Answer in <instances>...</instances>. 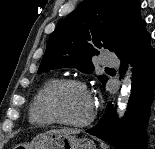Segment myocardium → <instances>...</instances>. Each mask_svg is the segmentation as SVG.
<instances>
[{
    "instance_id": "f54148a6",
    "label": "myocardium",
    "mask_w": 155,
    "mask_h": 149,
    "mask_svg": "<svg viewBox=\"0 0 155 149\" xmlns=\"http://www.w3.org/2000/svg\"><path fill=\"white\" fill-rule=\"evenodd\" d=\"M64 86H77L90 96L89 90L86 84L82 80L75 79V78L57 79L53 81L50 85H48L43 93L42 107H43L44 112L55 122L62 124V125H66V126L84 127L92 123L96 116V108L93 104V101H92V109H91L90 114L87 116V118H85L82 121L67 120L57 111V109L55 108L53 104L52 98H53L54 93L59 88L64 87Z\"/></svg>"
}]
</instances>
